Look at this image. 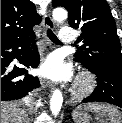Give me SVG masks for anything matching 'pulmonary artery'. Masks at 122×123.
<instances>
[{
  "instance_id": "pulmonary-artery-1",
  "label": "pulmonary artery",
  "mask_w": 122,
  "mask_h": 123,
  "mask_svg": "<svg viewBox=\"0 0 122 123\" xmlns=\"http://www.w3.org/2000/svg\"><path fill=\"white\" fill-rule=\"evenodd\" d=\"M59 39L62 43H71L75 40L74 31L69 27H63L59 32Z\"/></svg>"
}]
</instances>
